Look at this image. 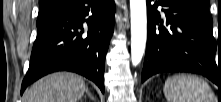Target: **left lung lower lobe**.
Wrapping results in <instances>:
<instances>
[{
	"label": "left lung lower lobe",
	"mask_w": 221,
	"mask_h": 102,
	"mask_svg": "<svg viewBox=\"0 0 221 102\" xmlns=\"http://www.w3.org/2000/svg\"><path fill=\"white\" fill-rule=\"evenodd\" d=\"M147 1V46L142 82L159 72H192L221 87V59L209 8L195 0ZM162 7L168 28L157 10Z\"/></svg>",
	"instance_id": "obj_1"
}]
</instances>
